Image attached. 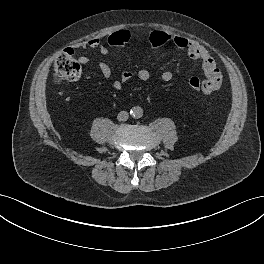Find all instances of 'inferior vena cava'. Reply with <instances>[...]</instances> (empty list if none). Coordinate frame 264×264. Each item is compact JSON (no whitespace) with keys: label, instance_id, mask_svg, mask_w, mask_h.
I'll return each mask as SVG.
<instances>
[{"label":"inferior vena cava","instance_id":"obj_1","mask_svg":"<svg viewBox=\"0 0 264 264\" xmlns=\"http://www.w3.org/2000/svg\"><path fill=\"white\" fill-rule=\"evenodd\" d=\"M128 116H129V114L127 111H121V112H119L117 119L119 121H126L128 119Z\"/></svg>","mask_w":264,"mask_h":264}]
</instances>
